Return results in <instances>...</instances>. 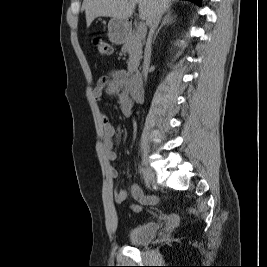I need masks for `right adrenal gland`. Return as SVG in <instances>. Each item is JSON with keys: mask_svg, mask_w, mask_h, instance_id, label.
Segmentation results:
<instances>
[{"mask_svg": "<svg viewBox=\"0 0 267 267\" xmlns=\"http://www.w3.org/2000/svg\"><path fill=\"white\" fill-rule=\"evenodd\" d=\"M174 21H176V15H173V14H172V11H170V10L166 11L165 16H164V18H163V20H162V23H161L160 27L158 28V30L156 31V33H155V35H154L153 43H154V41H155V39H156V37H157L159 31L161 30V28H162L164 25H168V24H170V23H172V22H174Z\"/></svg>", "mask_w": 267, "mask_h": 267, "instance_id": "1", "label": "right adrenal gland"}]
</instances>
